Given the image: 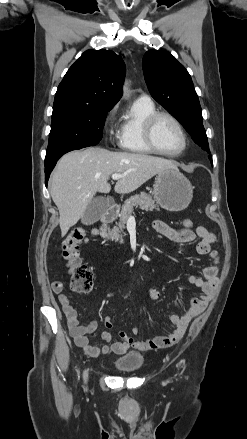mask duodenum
Instances as JSON below:
<instances>
[{"mask_svg": "<svg viewBox=\"0 0 247 439\" xmlns=\"http://www.w3.org/2000/svg\"><path fill=\"white\" fill-rule=\"evenodd\" d=\"M118 205L111 204L108 209L103 213V215L100 218V226L94 227L92 229V234L98 237H103L104 235V226L111 222L118 213Z\"/></svg>", "mask_w": 247, "mask_h": 439, "instance_id": "1", "label": "duodenum"}]
</instances>
